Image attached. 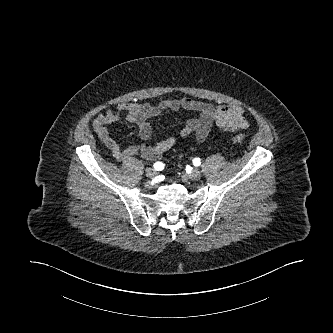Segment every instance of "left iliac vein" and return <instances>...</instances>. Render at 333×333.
<instances>
[{"label": "left iliac vein", "mask_w": 333, "mask_h": 333, "mask_svg": "<svg viewBox=\"0 0 333 333\" xmlns=\"http://www.w3.org/2000/svg\"><path fill=\"white\" fill-rule=\"evenodd\" d=\"M191 180H198L201 177V173L198 169H193L188 175Z\"/></svg>", "instance_id": "4c4485c4"}]
</instances>
